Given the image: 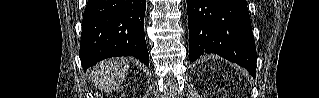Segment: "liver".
<instances>
[{
	"label": "liver",
	"mask_w": 319,
	"mask_h": 98,
	"mask_svg": "<svg viewBox=\"0 0 319 98\" xmlns=\"http://www.w3.org/2000/svg\"><path fill=\"white\" fill-rule=\"evenodd\" d=\"M128 70L129 61L126 59L104 60L93 68L90 79L96 88L111 92L123 83Z\"/></svg>",
	"instance_id": "1"
}]
</instances>
